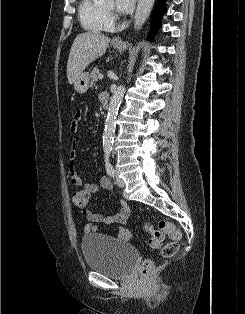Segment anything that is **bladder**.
<instances>
[{
	"instance_id": "bladder-1",
	"label": "bladder",
	"mask_w": 245,
	"mask_h": 314,
	"mask_svg": "<svg viewBox=\"0 0 245 314\" xmlns=\"http://www.w3.org/2000/svg\"><path fill=\"white\" fill-rule=\"evenodd\" d=\"M81 247L86 266L108 276L126 275L139 256L132 246L99 234L84 236Z\"/></svg>"
}]
</instances>
